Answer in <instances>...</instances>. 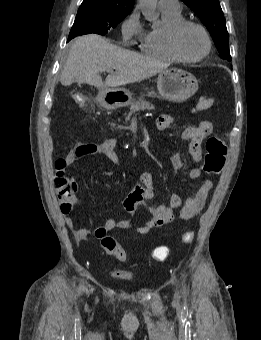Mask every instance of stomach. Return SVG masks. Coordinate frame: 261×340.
I'll use <instances>...</instances> for the list:
<instances>
[{
	"label": "stomach",
	"mask_w": 261,
	"mask_h": 340,
	"mask_svg": "<svg viewBox=\"0 0 261 340\" xmlns=\"http://www.w3.org/2000/svg\"><path fill=\"white\" fill-rule=\"evenodd\" d=\"M157 89L160 98L183 102L196 93L198 80L193 74L181 69H164L158 75ZM134 100V93L126 88H104L98 95L99 104L107 110L127 106Z\"/></svg>",
	"instance_id": "1"
}]
</instances>
